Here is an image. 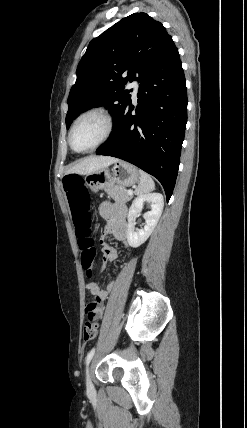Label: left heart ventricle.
Returning a JSON list of instances; mask_svg holds the SVG:
<instances>
[{
	"label": "left heart ventricle",
	"mask_w": 247,
	"mask_h": 428,
	"mask_svg": "<svg viewBox=\"0 0 247 428\" xmlns=\"http://www.w3.org/2000/svg\"><path fill=\"white\" fill-rule=\"evenodd\" d=\"M105 130L106 125L101 117L97 115L85 117L75 127L73 144L78 149L90 148L103 137Z\"/></svg>",
	"instance_id": "1"
}]
</instances>
